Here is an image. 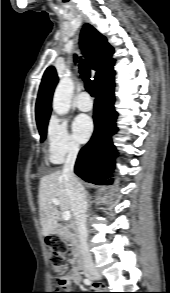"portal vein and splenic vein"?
I'll return each instance as SVG.
<instances>
[{
  "mask_svg": "<svg viewBox=\"0 0 170 293\" xmlns=\"http://www.w3.org/2000/svg\"><path fill=\"white\" fill-rule=\"evenodd\" d=\"M52 202H53V204L56 205V206H59V205H60L59 200L56 199V198L52 199ZM62 218H63V220H66V221H67V220H70V218H71V214H70V212H69V211H65V212H63V213H62Z\"/></svg>",
  "mask_w": 170,
  "mask_h": 293,
  "instance_id": "1",
  "label": "portal vein and splenic vein"
}]
</instances>
